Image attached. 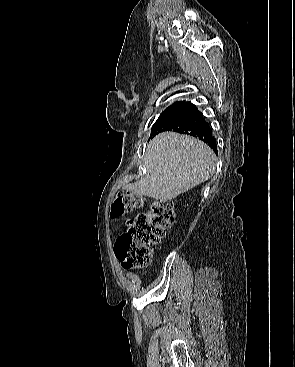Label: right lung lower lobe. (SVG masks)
<instances>
[{
    "instance_id": "obj_1",
    "label": "right lung lower lobe",
    "mask_w": 295,
    "mask_h": 367,
    "mask_svg": "<svg viewBox=\"0 0 295 367\" xmlns=\"http://www.w3.org/2000/svg\"><path fill=\"white\" fill-rule=\"evenodd\" d=\"M163 131H175L192 135L208 144L216 154L218 153L216 139L212 135L209 124L205 121L202 113L191 102L183 103L161 123L151 137Z\"/></svg>"
}]
</instances>
